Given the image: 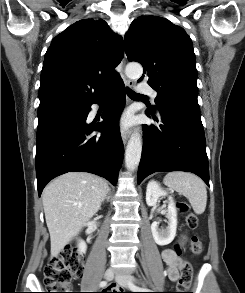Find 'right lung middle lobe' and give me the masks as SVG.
Returning a JSON list of instances; mask_svg holds the SVG:
<instances>
[{
	"label": "right lung middle lobe",
	"mask_w": 245,
	"mask_h": 293,
	"mask_svg": "<svg viewBox=\"0 0 245 293\" xmlns=\"http://www.w3.org/2000/svg\"><path fill=\"white\" fill-rule=\"evenodd\" d=\"M83 108V105H70V104H61V105H52L44 108H38V129L43 128L49 123L65 117L72 115Z\"/></svg>",
	"instance_id": "obj_1"
}]
</instances>
